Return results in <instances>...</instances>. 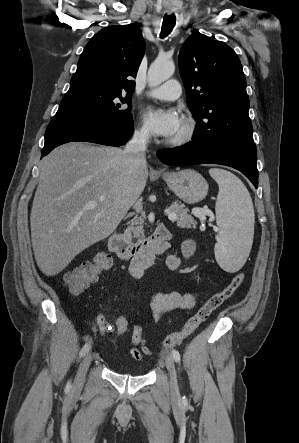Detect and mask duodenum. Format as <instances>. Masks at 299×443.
I'll use <instances>...</instances> for the list:
<instances>
[{"instance_id": "obj_1", "label": "duodenum", "mask_w": 299, "mask_h": 443, "mask_svg": "<svg viewBox=\"0 0 299 443\" xmlns=\"http://www.w3.org/2000/svg\"><path fill=\"white\" fill-rule=\"evenodd\" d=\"M170 237V232L164 226H158L150 237L139 242L130 241L114 232L108 238V247L122 260L149 267L167 251Z\"/></svg>"}]
</instances>
